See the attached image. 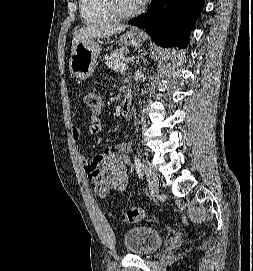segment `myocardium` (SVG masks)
Instances as JSON below:
<instances>
[{"label": "myocardium", "mask_w": 253, "mask_h": 271, "mask_svg": "<svg viewBox=\"0 0 253 271\" xmlns=\"http://www.w3.org/2000/svg\"><path fill=\"white\" fill-rule=\"evenodd\" d=\"M110 8L114 15L118 18H128L139 14L143 9V4L133 8L127 9L123 5L122 0H108Z\"/></svg>", "instance_id": "1"}]
</instances>
